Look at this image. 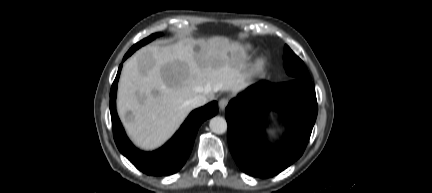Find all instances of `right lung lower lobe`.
<instances>
[{
  "label": "right lung lower lobe",
  "instance_id": "98d812e1",
  "mask_svg": "<svg viewBox=\"0 0 432 193\" xmlns=\"http://www.w3.org/2000/svg\"><path fill=\"white\" fill-rule=\"evenodd\" d=\"M131 54L127 53L123 60ZM119 66L110 91V113L115 143L119 151L140 171L154 176L171 175L180 170L188 159L195 136L201 123L218 112L217 102H211L194 110L176 134L160 149L153 152L138 150L127 138L116 111L117 82L121 72Z\"/></svg>",
  "mask_w": 432,
  "mask_h": 193
}]
</instances>
